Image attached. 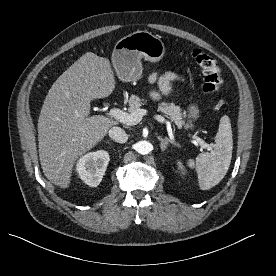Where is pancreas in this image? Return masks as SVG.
I'll return each instance as SVG.
<instances>
[{
  "label": "pancreas",
  "instance_id": "pancreas-1",
  "mask_svg": "<svg viewBox=\"0 0 276 276\" xmlns=\"http://www.w3.org/2000/svg\"><path fill=\"white\" fill-rule=\"evenodd\" d=\"M146 102L147 100L139 98L137 95H132L129 98V111L134 112L138 109H141V106L145 105ZM158 110L170 118L177 126L185 125V120H183L181 109L178 106H175V104L161 102L158 106ZM189 127V124L185 125V128Z\"/></svg>",
  "mask_w": 276,
  "mask_h": 276
}]
</instances>
